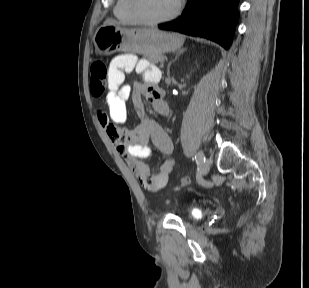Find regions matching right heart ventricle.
I'll return each instance as SVG.
<instances>
[{
    "mask_svg": "<svg viewBox=\"0 0 309 288\" xmlns=\"http://www.w3.org/2000/svg\"><path fill=\"white\" fill-rule=\"evenodd\" d=\"M115 17L123 24L138 23L129 10V0H116L114 6Z\"/></svg>",
    "mask_w": 309,
    "mask_h": 288,
    "instance_id": "right-heart-ventricle-1",
    "label": "right heart ventricle"
}]
</instances>
